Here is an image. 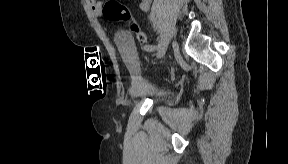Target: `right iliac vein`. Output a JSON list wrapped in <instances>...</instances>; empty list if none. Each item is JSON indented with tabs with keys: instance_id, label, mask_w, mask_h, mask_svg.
I'll list each match as a JSON object with an SVG mask.
<instances>
[{
	"instance_id": "obj_1",
	"label": "right iliac vein",
	"mask_w": 288,
	"mask_h": 164,
	"mask_svg": "<svg viewBox=\"0 0 288 164\" xmlns=\"http://www.w3.org/2000/svg\"><path fill=\"white\" fill-rule=\"evenodd\" d=\"M166 47H167V44L164 43L163 46L157 51L156 53V57L159 58L163 55V53L165 52L166 50Z\"/></svg>"
}]
</instances>
